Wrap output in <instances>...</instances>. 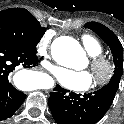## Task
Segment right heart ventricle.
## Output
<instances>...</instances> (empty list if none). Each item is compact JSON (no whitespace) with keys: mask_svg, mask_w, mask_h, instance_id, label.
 Masks as SVG:
<instances>
[{"mask_svg":"<svg viewBox=\"0 0 124 124\" xmlns=\"http://www.w3.org/2000/svg\"><path fill=\"white\" fill-rule=\"evenodd\" d=\"M81 42L89 55L96 56L102 54L103 46L96 37L85 34L81 37Z\"/></svg>","mask_w":124,"mask_h":124,"instance_id":"right-heart-ventricle-1","label":"right heart ventricle"}]
</instances>
